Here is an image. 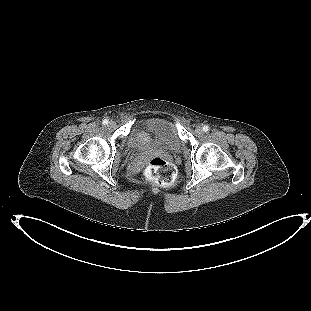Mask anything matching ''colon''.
<instances>
[{"label":"colon","mask_w":311,"mask_h":311,"mask_svg":"<svg viewBox=\"0 0 311 311\" xmlns=\"http://www.w3.org/2000/svg\"><path fill=\"white\" fill-rule=\"evenodd\" d=\"M145 172L149 180L161 186H169L176 179L173 165L162 157L152 158L148 162Z\"/></svg>","instance_id":"5ec220e1"}]
</instances>
